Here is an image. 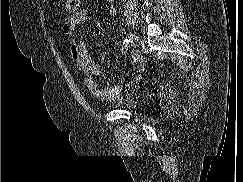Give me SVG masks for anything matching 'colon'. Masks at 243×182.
<instances>
[{
  "mask_svg": "<svg viewBox=\"0 0 243 182\" xmlns=\"http://www.w3.org/2000/svg\"><path fill=\"white\" fill-rule=\"evenodd\" d=\"M79 7V0H65L64 1V10L67 13L74 14L77 12Z\"/></svg>",
  "mask_w": 243,
  "mask_h": 182,
  "instance_id": "colon-1",
  "label": "colon"
}]
</instances>
